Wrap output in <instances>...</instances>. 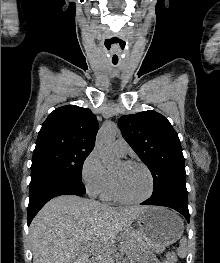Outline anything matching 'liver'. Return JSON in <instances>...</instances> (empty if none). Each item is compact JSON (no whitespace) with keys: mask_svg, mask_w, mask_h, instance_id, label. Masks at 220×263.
I'll use <instances>...</instances> for the list:
<instances>
[{"mask_svg":"<svg viewBox=\"0 0 220 263\" xmlns=\"http://www.w3.org/2000/svg\"><path fill=\"white\" fill-rule=\"evenodd\" d=\"M147 208H114L75 195L55 197L30 225L33 263H91L88 246L99 259Z\"/></svg>","mask_w":220,"mask_h":263,"instance_id":"liver-1","label":"liver"}]
</instances>
